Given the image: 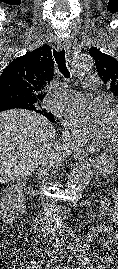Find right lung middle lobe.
<instances>
[{
  "label": "right lung middle lobe",
  "instance_id": "obj_1",
  "mask_svg": "<svg viewBox=\"0 0 118 269\" xmlns=\"http://www.w3.org/2000/svg\"><path fill=\"white\" fill-rule=\"evenodd\" d=\"M12 99L15 101V103L28 106V107H36V106H39L40 104L38 100L34 98H29V97H24V96H19V95L13 96Z\"/></svg>",
  "mask_w": 118,
  "mask_h": 269
}]
</instances>
